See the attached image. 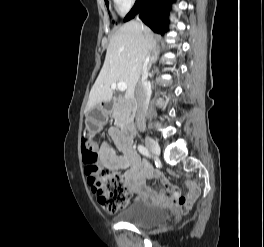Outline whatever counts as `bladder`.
<instances>
[{
    "instance_id": "obj_1",
    "label": "bladder",
    "mask_w": 264,
    "mask_h": 247,
    "mask_svg": "<svg viewBox=\"0 0 264 247\" xmlns=\"http://www.w3.org/2000/svg\"><path fill=\"white\" fill-rule=\"evenodd\" d=\"M118 218L122 222L151 229L166 224L169 220V211L166 208L148 204L143 201H135L128 208L123 210Z\"/></svg>"
}]
</instances>
